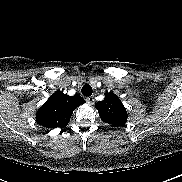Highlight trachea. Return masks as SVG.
<instances>
[{"label":"trachea","instance_id":"obj_1","mask_svg":"<svg viewBox=\"0 0 182 182\" xmlns=\"http://www.w3.org/2000/svg\"><path fill=\"white\" fill-rule=\"evenodd\" d=\"M82 94L84 96H91L92 95V87L89 85V84H85L83 87H82V90H81Z\"/></svg>","mask_w":182,"mask_h":182}]
</instances>
